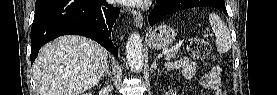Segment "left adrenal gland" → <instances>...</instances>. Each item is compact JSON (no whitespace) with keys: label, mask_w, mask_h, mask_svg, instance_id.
Returning <instances> with one entry per match:
<instances>
[{"label":"left adrenal gland","mask_w":277,"mask_h":95,"mask_svg":"<svg viewBox=\"0 0 277 95\" xmlns=\"http://www.w3.org/2000/svg\"><path fill=\"white\" fill-rule=\"evenodd\" d=\"M152 68H157L156 59H154V62H153V64H152Z\"/></svg>","instance_id":"a2214340"}]
</instances>
